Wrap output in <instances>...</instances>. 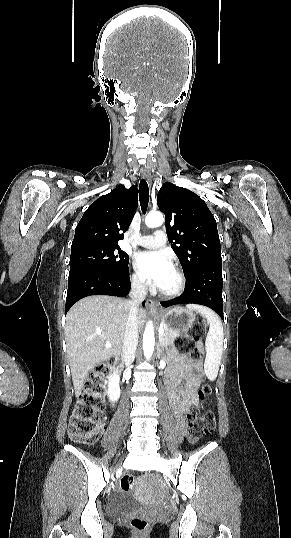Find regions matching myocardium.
Instances as JSON below:
<instances>
[{
  "instance_id": "f54148a6",
  "label": "myocardium",
  "mask_w": 291,
  "mask_h": 538,
  "mask_svg": "<svg viewBox=\"0 0 291 538\" xmlns=\"http://www.w3.org/2000/svg\"><path fill=\"white\" fill-rule=\"evenodd\" d=\"M173 271L175 272L177 276V285L174 288L169 289V290L159 288V294L163 297H167V298L177 297L181 295L186 288V277L184 273L178 267H173Z\"/></svg>"
}]
</instances>
